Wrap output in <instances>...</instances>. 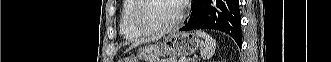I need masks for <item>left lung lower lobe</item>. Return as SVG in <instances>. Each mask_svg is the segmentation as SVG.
Segmentation results:
<instances>
[{"label": "left lung lower lobe", "mask_w": 331, "mask_h": 62, "mask_svg": "<svg viewBox=\"0 0 331 62\" xmlns=\"http://www.w3.org/2000/svg\"><path fill=\"white\" fill-rule=\"evenodd\" d=\"M239 0H193L191 16L180 31L215 29L229 34L241 47Z\"/></svg>", "instance_id": "1"}]
</instances>
